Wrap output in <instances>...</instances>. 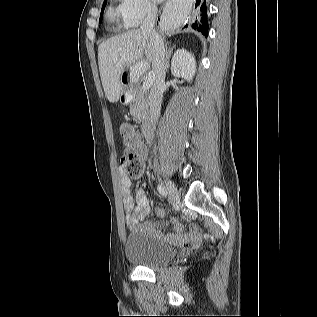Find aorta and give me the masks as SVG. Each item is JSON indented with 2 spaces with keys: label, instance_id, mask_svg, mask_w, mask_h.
<instances>
[{
  "label": "aorta",
  "instance_id": "1",
  "mask_svg": "<svg viewBox=\"0 0 317 317\" xmlns=\"http://www.w3.org/2000/svg\"><path fill=\"white\" fill-rule=\"evenodd\" d=\"M181 22V18L177 12L170 11L165 15L164 27L171 29L178 26Z\"/></svg>",
  "mask_w": 317,
  "mask_h": 317
}]
</instances>
